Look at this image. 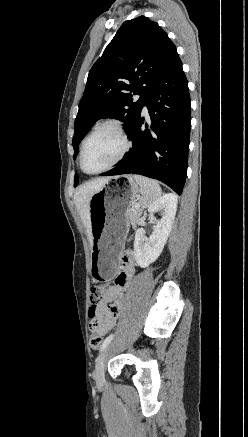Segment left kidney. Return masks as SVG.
Returning <instances> with one entry per match:
<instances>
[{
  "mask_svg": "<svg viewBox=\"0 0 248 437\" xmlns=\"http://www.w3.org/2000/svg\"><path fill=\"white\" fill-rule=\"evenodd\" d=\"M177 201V196L169 193L161 196L148 207L150 222L154 224L153 232L149 238H146L145 231L140 228L136 231L134 240L135 259L141 268L148 267L162 253L172 229ZM157 211L161 214L159 220L153 217Z\"/></svg>",
  "mask_w": 248,
  "mask_h": 437,
  "instance_id": "1",
  "label": "left kidney"
}]
</instances>
